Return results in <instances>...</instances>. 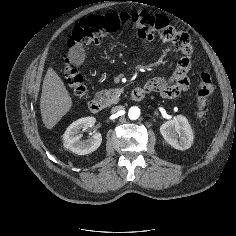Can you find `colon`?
Instances as JSON below:
<instances>
[{
    "label": "colon",
    "mask_w": 236,
    "mask_h": 236,
    "mask_svg": "<svg viewBox=\"0 0 236 236\" xmlns=\"http://www.w3.org/2000/svg\"><path fill=\"white\" fill-rule=\"evenodd\" d=\"M127 25L135 26L138 36L143 40L159 38L163 41L175 43L179 42L182 38V34L170 25L165 16L150 14L146 11H134L94 15L80 20L72 29L68 45L74 47L98 43L102 38L118 32ZM64 78L68 87L77 98L81 100L86 99L87 89L83 78L69 61L65 63ZM187 85L186 81L178 82V90L183 91ZM213 92L214 83L211 75L207 72H202L196 95L197 116L201 120L207 116Z\"/></svg>",
    "instance_id": "1"
}]
</instances>
